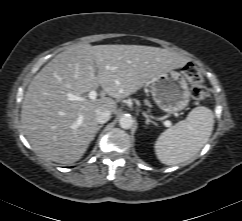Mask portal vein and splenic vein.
Masks as SVG:
<instances>
[{
	"instance_id": "1",
	"label": "portal vein and splenic vein",
	"mask_w": 242,
	"mask_h": 221,
	"mask_svg": "<svg viewBox=\"0 0 242 221\" xmlns=\"http://www.w3.org/2000/svg\"><path fill=\"white\" fill-rule=\"evenodd\" d=\"M89 99L91 100H95L97 97V92L95 90H91L88 94ZM69 100L72 101H83L84 99L82 97L76 96V95H69ZM81 123V120L78 121V124ZM165 126L166 127H170L171 126V122L170 121H165Z\"/></svg>"
}]
</instances>
